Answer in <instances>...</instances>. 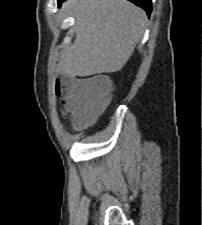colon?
Here are the masks:
<instances>
[{"mask_svg": "<svg viewBox=\"0 0 202 225\" xmlns=\"http://www.w3.org/2000/svg\"><path fill=\"white\" fill-rule=\"evenodd\" d=\"M113 86L101 79L75 78L57 84V91L62 93L70 91L82 95L86 99V105L90 113L102 111L110 102Z\"/></svg>", "mask_w": 202, "mask_h": 225, "instance_id": "1", "label": "colon"}]
</instances>
